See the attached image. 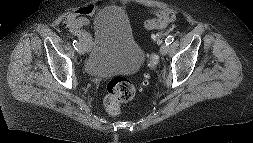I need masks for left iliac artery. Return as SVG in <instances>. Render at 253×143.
<instances>
[{
  "instance_id": "obj_1",
  "label": "left iliac artery",
  "mask_w": 253,
  "mask_h": 143,
  "mask_svg": "<svg viewBox=\"0 0 253 143\" xmlns=\"http://www.w3.org/2000/svg\"><path fill=\"white\" fill-rule=\"evenodd\" d=\"M174 41V37L173 36H168L165 40V44L169 45Z\"/></svg>"
}]
</instances>
